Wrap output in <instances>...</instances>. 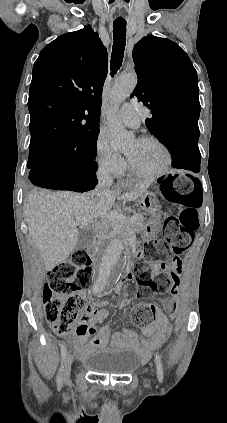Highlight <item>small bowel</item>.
<instances>
[{
  "label": "small bowel",
  "mask_w": 227,
  "mask_h": 423,
  "mask_svg": "<svg viewBox=\"0 0 227 423\" xmlns=\"http://www.w3.org/2000/svg\"><path fill=\"white\" fill-rule=\"evenodd\" d=\"M94 291V290H93ZM171 292L173 298L165 299L162 302L164 310L174 317L178 304V282L172 287ZM131 300L125 299L119 302V307H126ZM108 302L103 299L96 300L87 305L85 314L80 322V331L76 334L74 339V348L80 357L88 355L94 348L105 345L110 339L113 344L130 348L141 356H145L151 347L162 342L172 330V325L166 316L158 311L156 312L153 321L142 328L144 341L140 343L134 332L127 331L125 333H115L107 326L102 327L99 332H96L95 324L103 323L108 311L105 307ZM89 337H92L88 341Z\"/></svg>",
  "instance_id": "obj_1"
}]
</instances>
